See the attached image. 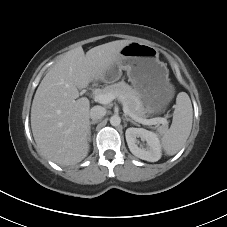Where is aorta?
Here are the masks:
<instances>
[{
  "instance_id": "aorta-1",
  "label": "aorta",
  "mask_w": 227,
  "mask_h": 227,
  "mask_svg": "<svg viewBox=\"0 0 227 227\" xmlns=\"http://www.w3.org/2000/svg\"><path fill=\"white\" fill-rule=\"evenodd\" d=\"M121 123V118L118 115H113L110 118V124L112 126H119Z\"/></svg>"
}]
</instances>
